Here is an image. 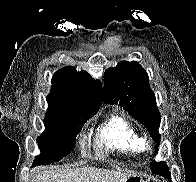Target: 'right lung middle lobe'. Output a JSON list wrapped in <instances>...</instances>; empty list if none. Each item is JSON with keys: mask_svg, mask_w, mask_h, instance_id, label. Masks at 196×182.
Returning <instances> with one entry per match:
<instances>
[{"mask_svg": "<svg viewBox=\"0 0 196 182\" xmlns=\"http://www.w3.org/2000/svg\"><path fill=\"white\" fill-rule=\"evenodd\" d=\"M92 116L47 112L44 119L46 130L37 139L41 152L34 159L33 166L50 165L67 156L73 149L82 126Z\"/></svg>", "mask_w": 196, "mask_h": 182, "instance_id": "right-lung-middle-lobe-1", "label": "right lung middle lobe"}]
</instances>
